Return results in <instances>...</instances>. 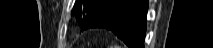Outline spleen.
Here are the masks:
<instances>
[{
    "label": "spleen",
    "mask_w": 213,
    "mask_h": 48,
    "mask_svg": "<svg viewBox=\"0 0 213 48\" xmlns=\"http://www.w3.org/2000/svg\"><path fill=\"white\" fill-rule=\"evenodd\" d=\"M112 48H121L119 45H115L114 47H112Z\"/></svg>",
    "instance_id": "3e777b00"
}]
</instances>
